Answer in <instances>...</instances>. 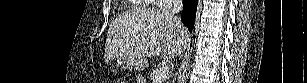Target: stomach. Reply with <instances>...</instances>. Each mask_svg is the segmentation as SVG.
<instances>
[{
	"label": "stomach",
	"instance_id": "0dacf381",
	"mask_svg": "<svg viewBox=\"0 0 307 83\" xmlns=\"http://www.w3.org/2000/svg\"><path fill=\"white\" fill-rule=\"evenodd\" d=\"M118 65L127 70H141L145 68L147 61L145 59H134L129 56H120L117 59Z\"/></svg>",
	"mask_w": 307,
	"mask_h": 83
}]
</instances>
